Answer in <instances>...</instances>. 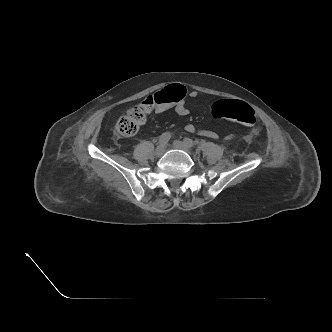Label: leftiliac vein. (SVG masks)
<instances>
[{
	"label": "left iliac vein",
	"instance_id": "4c4485c4",
	"mask_svg": "<svg viewBox=\"0 0 332 332\" xmlns=\"http://www.w3.org/2000/svg\"><path fill=\"white\" fill-rule=\"evenodd\" d=\"M173 147L176 148V149L183 150V151L188 152V153H190V151H191L190 146H188L186 143H184L182 141H179V140H175L173 142Z\"/></svg>",
	"mask_w": 332,
	"mask_h": 332
}]
</instances>
